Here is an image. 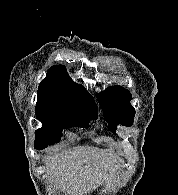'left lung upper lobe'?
<instances>
[{"label": "left lung upper lobe", "mask_w": 178, "mask_h": 195, "mask_svg": "<svg viewBox=\"0 0 178 195\" xmlns=\"http://www.w3.org/2000/svg\"><path fill=\"white\" fill-rule=\"evenodd\" d=\"M101 109L110 129L116 133V125L131 126L135 110L130 104L131 94L121 86H111L98 94Z\"/></svg>", "instance_id": "obj_1"}]
</instances>
